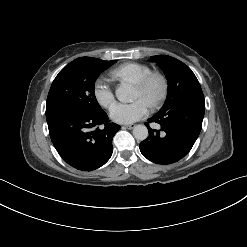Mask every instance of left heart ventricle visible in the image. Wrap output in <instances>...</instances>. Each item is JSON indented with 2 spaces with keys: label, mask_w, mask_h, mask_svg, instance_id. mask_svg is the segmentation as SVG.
Returning <instances> with one entry per match:
<instances>
[{
  "label": "left heart ventricle",
  "mask_w": 247,
  "mask_h": 247,
  "mask_svg": "<svg viewBox=\"0 0 247 247\" xmlns=\"http://www.w3.org/2000/svg\"><path fill=\"white\" fill-rule=\"evenodd\" d=\"M157 88H158V85L155 84L154 85V90H157ZM135 98H142L146 102L149 103V97L147 95H144L137 87H135Z\"/></svg>",
  "instance_id": "obj_1"
}]
</instances>
